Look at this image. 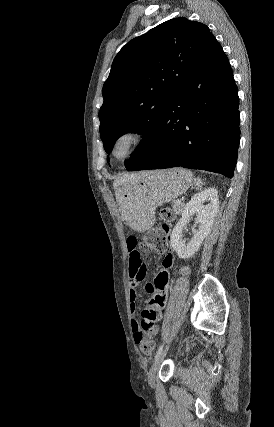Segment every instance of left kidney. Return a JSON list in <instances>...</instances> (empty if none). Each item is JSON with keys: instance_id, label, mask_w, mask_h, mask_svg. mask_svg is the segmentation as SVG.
<instances>
[{"instance_id": "5707ae66", "label": "left kidney", "mask_w": 274, "mask_h": 427, "mask_svg": "<svg viewBox=\"0 0 274 427\" xmlns=\"http://www.w3.org/2000/svg\"><path fill=\"white\" fill-rule=\"evenodd\" d=\"M205 202H208L207 206H203ZM218 208L219 196L215 188H207L204 192L195 194L190 202L186 204L181 219L174 225L171 233V245L179 257L188 259V257L194 255L195 251H198L204 237L208 235L213 225ZM194 214H197L194 225L199 223V229H193L194 235H192L190 241L185 243L186 239H183L182 231L187 221Z\"/></svg>"}]
</instances>
